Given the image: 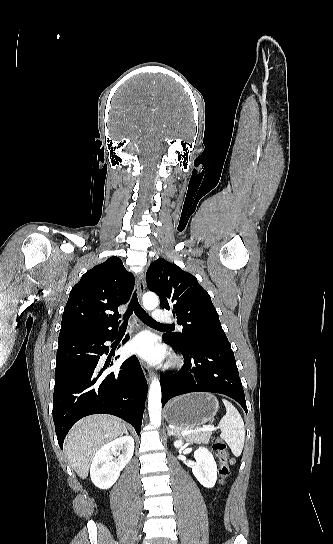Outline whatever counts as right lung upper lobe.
Wrapping results in <instances>:
<instances>
[{
	"label": "right lung upper lobe",
	"instance_id": "cb5924a9",
	"mask_svg": "<svg viewBox=\"0 0 333 544\" xmlns=\"http://www.w3.org/2000/svg\"><path fill=\"white\" fill-rule=\"evenodd\" d=\"M135 279L119 257L87 271L72 288L65 306L58 344L99 335L119 326L118 307L126 304Z\"/></svg>",
	"mask_w": 333,
	"mask_h": 544
}]
</instances>
